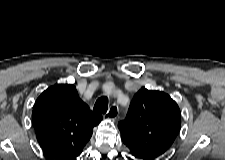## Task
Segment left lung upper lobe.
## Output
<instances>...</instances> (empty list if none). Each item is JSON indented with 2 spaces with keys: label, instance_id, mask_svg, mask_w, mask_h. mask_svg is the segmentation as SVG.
Returning a JSON list of instances; mask_svg holds the SVG:
<instances>
[{
  "label": "left lung upper lobe",
  "instance_id": "obj_1",
  "mask_svg": "<svg viewBox=\"0 0 225 160\" xmlns=\"http://www.w3.org/2000/svg\"><path fill=\"white\" fill-rule=\"evenodd\" d=\"M181 126L176 102L166 93L139 90L127 117L118 123L130 154L141 160L161 157L173 144Z\"/></svg>",
  "mask_w": 225,
  "mask_h": 160
}]
</instances>
